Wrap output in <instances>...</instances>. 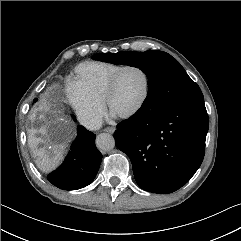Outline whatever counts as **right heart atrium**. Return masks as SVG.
Returning <instances> with one entry per match:
<instances>
[{"instance_id": "1", "label": "right heart atrium", "mask_w": 241, "mask_h": 241, "mask_svg": "<svg viewBox=\"0 0 241 241\" xmlns=\"http://www.w3.org/2000/svg\"><path fill=\"white\" fill-rule=\"evenodd\" d=\"M67 99L83 125L90 129L100 125L105 112L103 102L93 98L76 80L67 88Z\"/></svg>"}]
</instances>
